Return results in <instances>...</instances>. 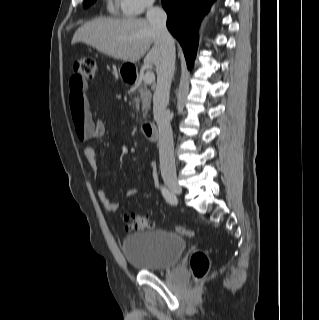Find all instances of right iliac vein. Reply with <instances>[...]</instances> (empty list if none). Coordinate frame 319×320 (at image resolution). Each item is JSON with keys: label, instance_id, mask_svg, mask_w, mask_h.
<instances>
[{"label": "right iliac vein", "instance_id": "right-iliac-vein-1", "mask_svg": "<svg viewBox=\"0 0 319 320\" xmlns=\"http://www.w3.org/2000/svg\"><path fill=\"white\" fill-rule=\"evenodd\" d=\"M165 184L170 188V190L175 194H181L182 188L178 183L176 178L173 177H166L164 179Z\"/></svg>", "mask_w": 319, "mask_h": 320}]
</instances>
